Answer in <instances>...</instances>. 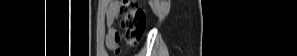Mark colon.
<instances>
[{
  "mask_svg": "<svg viewBox=\"0 0 297 56\" xmlns=\"http://www.w3.org/2000/svg\"><path fill=\"white\" fill-rule=\"evenodd\" d=\"M115 5L121 16V27L125 32L126 41L131 45L136 44L141 39L146 26L144 11L133 0H122Z\"/></svg>",
  "mask_w": 297,
  "mask_h": 56,
  "instance_id": "1",
  "label": "colon"
}]
</instances>
